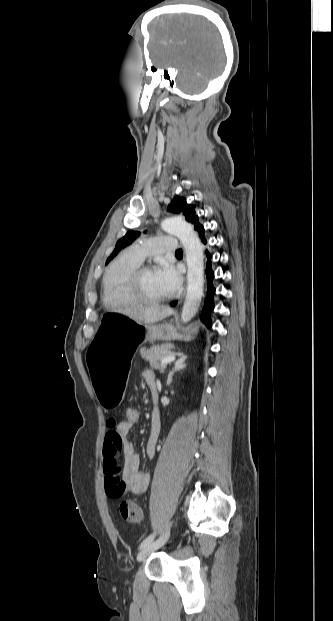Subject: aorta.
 <instances>
[{
    "instance_id": "762f6f07",
    "label": "aorta",
    "mask_w": 333,
    "mask_h": 621,
    "mask_svg": "<svg viewBox=\"0 0 333 621\" xmlns=\"http://www.w3.org/2000/svg\"><path fill=\"white\" fill-rule=\"evenodd\" d=\"M162 228L176 236L182 243L187 261V294L182 309V321H190L198 311L204 287V255L203 247L193 227L180 218H169L163 221Z\"/></svg>"
}]
</instances>
